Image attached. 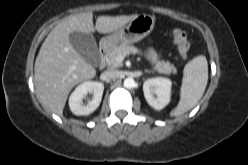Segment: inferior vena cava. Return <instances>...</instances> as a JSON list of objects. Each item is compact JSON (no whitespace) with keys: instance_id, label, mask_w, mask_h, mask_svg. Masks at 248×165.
<instances>
[{"instance_id":"1","label":"inferior vena cava","mask_w":248,"mask_h":165,"mask_svg":"<svg viewBox=\"0 0 248 165\" xmlns=\"http://www.w3.org/2000/svg\"><path fill=\"white\" fill-rule=\"evenodd\" d=\"M120 75V71L118 70H114V69H110V70H106L101 74V78L103 80H111V79H115Z\"/></svg>"}]
</instances>
